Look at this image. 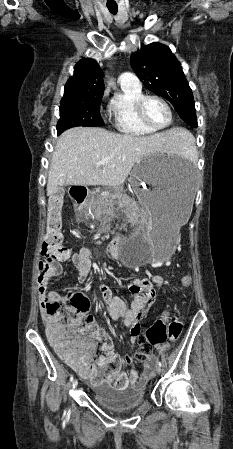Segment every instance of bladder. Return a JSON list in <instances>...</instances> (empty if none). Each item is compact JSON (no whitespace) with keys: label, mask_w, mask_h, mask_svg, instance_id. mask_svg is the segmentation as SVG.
Here are the masks:
<instances>
[{"label":"bladder","mask_w":233,"mask_h":449,"mask_svg":"<svg viewBox=\"0 0 233 449\" xmlns=\"http://www.w3.org/2000/svg\"><path fill=\"white\" fill-rule=\"evenodd\" d=\"M96 404L106 410L123 412L139 407L145 401L144 387L118 389L100 384L91 389Z\"/></svg>","instance_id":"bladder-1"}]
</instances>
